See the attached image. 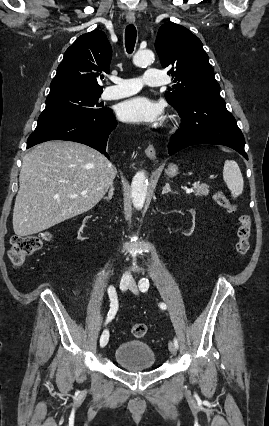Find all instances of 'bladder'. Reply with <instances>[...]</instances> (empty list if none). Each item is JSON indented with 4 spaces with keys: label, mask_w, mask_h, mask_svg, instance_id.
I'll return each mask as SVG.
<instances>
[{
    "label": "bladder",
    "mask_w": 269,
    "mask_h": 426,
    "mask_svg": "<svg viewBox=\"0 0 269 426\" xmlns=\"http://www.w3.org/2000/svg\"><path fill=\"white\" fill-rule=\"evenodd\" d=\"M113 359L127 371L150 370L156 364L154 351L140 340L121 342L114 350Z\"/></svg>",
    "instance_id": "obj_1"
}]
</instances>
